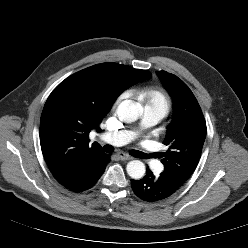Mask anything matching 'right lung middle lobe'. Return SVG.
<instances>
[{"label": "right lung middle lobe", "mask_w": 248, "mask_h": 248, "mask_svg": "<svg viewBox=\"0 0 248 248\" xmlns=\"http://www.w3.org/2000/svg\"><path fill=\"white\" fill-rule=\"evenodd\" d=\"M147 75H149V73L145 70L134 69L132 67H127V69H125L123 72L124 79L131 82L138 81Z\"/></svg>", "instance_id": "dd1d6c3e"}]
</instances>
